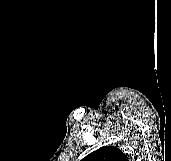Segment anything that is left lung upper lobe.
Masks as SVG:
<instances>
[{"label":"left lung upper lobe","instance_id":"1","mask_svg":"<svg viewBox=\"0 0 171 161\" xmlns=\"http://www.w3.org/2000/svg\"><path fill=\"white\" fill-rule=\"evenodd\" d=\"M81 161H128V157L116 147H102Z\"/></svg>","mask_w":171,"mask_h":161}]
</instances>
